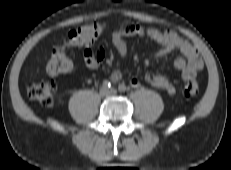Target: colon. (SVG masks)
Masks as SVG:
<instances>
[{"instance_id":"5ec220e1","label":"colon","mask_w":231,"mask_h":170,"mask_svg":"<svg viewBox=\"0 0 231 170\" xmlns=\"http://www.w3.org/2000/svg\"><path fill=\"white\" fill-rule=\"evenodd\" d=\"M103 26L99 23H90L72 30L67 39L55 46L47 64V72L52 75L68 73L73 68V63L68 57L67 51L74 47L86 46L93 43L101 35ZM57 86L53 80L45 79L40 82H30L27 86L29 98L46 107L55 105ZM199 92V86L195 80H187L179 89L180 95L193 97Z\"/></svg>"}]
</instances>
